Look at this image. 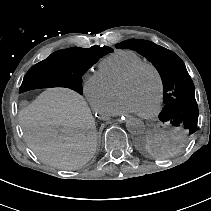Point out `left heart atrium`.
<instances>
[{"instance_id": "1", "label": "left heart atrium", "mask_w": 211, "mask_h": 211, "mask_svg": "<svg viewBox=\"0 0 211 211\" xmlns=\"http://www.w3.org/2000/svg\"><path fill=\"white\" fill-rule=\"evenodd\" d=\"M128 112L137 113L133 106L124 98L117 99L104 113L106 115H119Z\"/></svg>"}]
</instances>
